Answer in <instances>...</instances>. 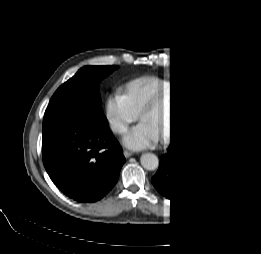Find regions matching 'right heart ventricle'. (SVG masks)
<instances>
[{"label": "right heart ventricle", "instance_id": "obj_1", "mask_svg": "<svg viewBox=\"0 0 261 254\" xmlns=\"http://www.w3.org/2000/svg\"><path fill=\"white\" fill-rule=\"evenodd\" d=\"M165 85L155 79L138 80L128 87L126 97L132 108L139 113Z\"/></svg>", "mask_w": 261, "mask_h": 254}]
</instances>
